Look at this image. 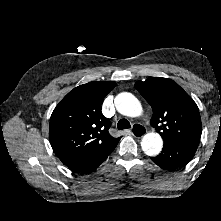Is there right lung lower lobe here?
Returning a JSON list of instances; mask_svg holds the SVG:
<instances>
[{"instance_id": "1", "label": "right lung lower lobe", "mask_w": 221, "mask_h": 221, "mask_svg": "<svg viewBox=\"0 0 221 221\" xmlns=\"http://www.w3.org/2000/svg\"><path fill=\"white\" fill-rule=\"evenodd\" d=\"M111 152L101 156L95 155V156L82 158L67 164V166L75 172L90 173L93 170L97 169L99 165H101V163H103L105 159L111 154Z\"/></svg>"}]
</instances>
